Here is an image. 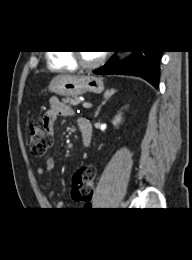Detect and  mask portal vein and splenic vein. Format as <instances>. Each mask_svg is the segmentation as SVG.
<instances>
[{"mask_svg":"<svg viewBox=\"0 0 192 260\" xmlns=\"http://www.w3.org/2000/svg\"><path fill=\"white\" fill-rule=\"evenodd\" d=\"M82 105H83L84 108L92 107V104L91 103H87V102H84Z\"/></svg>","mask_w":192,"mask_h":260,"instance_id":"18ae733b","label":"portal vein and splenic vein"}]
</instances>
